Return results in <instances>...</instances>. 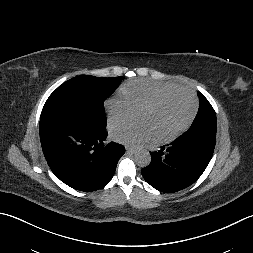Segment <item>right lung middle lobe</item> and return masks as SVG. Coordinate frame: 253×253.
Segmentation results:
<instances>
[{
  "label": "right lung middle lobe",
  "mask_w": 253,
  "mask_h": 253,
  "mask_svg": "<svg viewBox=\"0 0 253 253\" xmlns=\"http://www.w3.org/2000/svg\"><path fill=\"white\" fill-rule=\"evenodd\" d=\"M122 77H74L59 86L47 99L41 119L63 116L97 128H106L104 101L119 86Z\"/></svg>",
  "instance_id": "dd1d6c3e"
}]
</instances>
